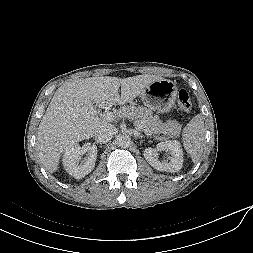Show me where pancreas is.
Here are the masks:
<instances>
[{"label": "pancreas", "mask_w": 253, "mask_h": 253, "mask_svg": "<svg viewBox=\"0 0 253 253\" xmlns=\"http://www.w3.org/2000/svg\"><path fill=\"white\" fill-rule=\"evenodd\" d=\"M118 115L134 121L135 125L140 126L142 130L149 129L154 136L164 134L169 137H178L181 132L182 126L177 121L163 123L157 115H153L152 110L143 106L124 105L119 109Z\"/></svg>", "instance_id": "cf45deb5"}]
</instances>
